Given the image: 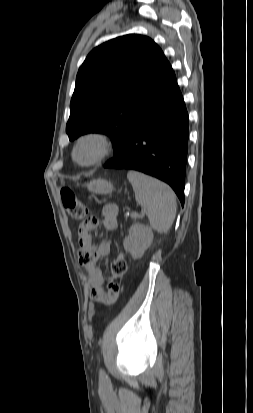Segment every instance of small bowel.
Here are the masks:
<instances>
[{
    "instance_id": "1",
    "label": "small bowel",
    "mask_w": 253,
    "mask_h": 413,
    "mask_svg": "<svg viewBox=\"0 0 253 413\" xmlns=\"http://www.w3.org/2000/svg\"><path fill=\"white\" fill-rule=\"evenodd\" d=\"M101 221L104 230H115L118 224L117 206L111 203L105 204L102 208ZM97 224L98 220L95 217H91L79 226V261L85 268L87 279L91 286V297L102 302L104 309H111L120 296V287L114 273L106 275V283L104 284V275L96 265L99 259L108 257L111 253V243L109 241H102L98 245L93 243L91 232L97 227Z\"/></svg>"
}]
</instances>
